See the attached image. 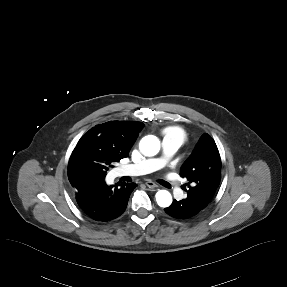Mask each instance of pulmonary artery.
<instances>
[{"label":"pulmonary artery","instance_id":"1","mask_svg":"<svg viewBox=\"0 0 287 287\" xmlns=\"http://www.w3.org/2000/svg\"><path fill=\"white\" fill-rule=\"evenodd\" d=\"M180 145L181 143L178 139L167 136L162 141L163 154L160 157L149 158L138 164L121 166L117 170V176L142 175L161 169L177 152ZM165 177L170 187L172 188L173 194L179 198L182 193L179 180L169 172L166 173Z\"/></svg>","mask_w":287,"mask_h":287}]
</instances>
